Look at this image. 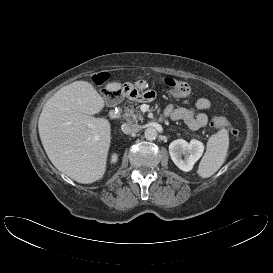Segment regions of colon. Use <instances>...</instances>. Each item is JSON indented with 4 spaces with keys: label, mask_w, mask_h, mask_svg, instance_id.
Here are the masks:
<instances>
[{
    "label": "colon",
    "mask_w": 273,
    "mask_h": 273,
    "mask_svg": "<svg viewBox=\"0 0 273 273\" xmlns=\"http://www.w3.org/2000/svg\"><path fill=\"white\" fill-rule=\"evenodd\" d=\"M109 78V75L107 73H98L93 76V81L98 84H104ZM164 83L168 87V89L175 95L177 96H185L189 93V85L182 81L178 80L174 77H165L164 78ZM115 93H110V96L115 97ZM211 124L216 127V128H226L228 131L231 133L233 136H237L238 132L235 128H233L230 124V122L220 116H215L211 119Z\"/></svg>",
    "instance_id": "5ec220e1"
}]
</instances>
